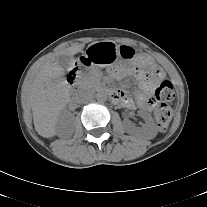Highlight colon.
Here are the masks:
<instances>
[{
	"label": "colon",
	"instance_id": "obj_1",
	"mask_svg": "<svg viewBox=\"0 0 207 207\" xmlns=\"http://www.w3.org/2000/svg\"><path fill=\"white\" fill-rule=\"evenodd\" d=\"M141 67L146 72L154 73L158 70V63L151 57H146L141 62ZM175 96L174 86L170 80H163L155 92V100L158 106L155 110V119L161 132L167 131L172 119V110L166 104Z\"/></svg>",
	"mask_w": 207,
	"mask_h": 207
}]
</instances>
